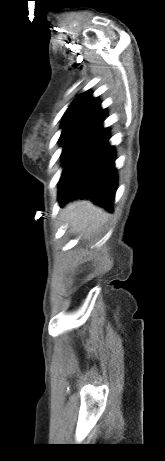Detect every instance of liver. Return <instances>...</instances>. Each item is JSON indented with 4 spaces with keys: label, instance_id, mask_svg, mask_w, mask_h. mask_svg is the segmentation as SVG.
I'll return each mask as SVG.
<instances>
[{
    "label": "liver",
    "instance_id": "1",
    "mask_svg": "<svg viewBox=\"0 0 165 461\" xmlns=\"http://www.w3.org/2000/svg\"><path fill=\"white\" fill-rule=\"evenodd\" d=\"M64 218L73 232L90 236L100 231L107 213L88 200H77L65 206Z\"/></svg>",
    "mask_w": 165,
    "mask_h": 461
}]
</instances>
